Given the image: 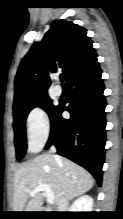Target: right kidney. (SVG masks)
Instances as JSON below:
<instances>
[{"label":"right kidney","instance_id":"ca27d5eb","mask_svg":"<svg viewBox=\"0 0 123 219\" xmlns=\"http://www.w3.org/2000/svg\"><path fill=\"white\" fill-rule=\"evenodd\" d=\"M93 204V198L89 195H84L75 200L69 212H92Z\"/></svg>","mask_w":123,"mask_h":219}]
</instances>
